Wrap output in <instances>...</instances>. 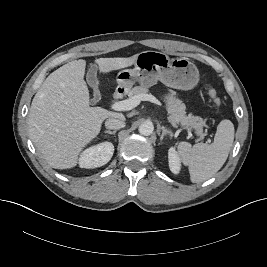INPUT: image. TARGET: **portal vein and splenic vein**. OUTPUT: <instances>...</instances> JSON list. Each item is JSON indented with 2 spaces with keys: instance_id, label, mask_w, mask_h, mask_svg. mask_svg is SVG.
<instances>
[{
  "instance_id": "18ae733b",
  "label": "portal vein and splenic vein",
  "mask_w": 267,
  "mask_h": 267,
  "mask_svg": "<svg viewBox=\"0 0 267 267\" xmlns=\"http://www.w3.org/2000/svg\"><path fill=\"white\" fill-rule=\"evenodd\" d=\"M141 101H150L156 105L161 106V102L155 96L151 94H140V95L134 96L126 100L114 102L111 105V109L115 111H128V110L135 108L137 105H139ZM171 123L174 127H178L177 124L173 122ZM182 128L191 132V128L189 127H182Z\"/></svg>"
}]
</instances>
